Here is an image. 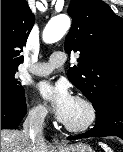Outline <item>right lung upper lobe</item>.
I'll return each mask as SVG.
<instances>
[{"mask_svg": "<svg viewBox=\"0 0 123 152\" xmlns=\"http://www.w3.org/2000/svg\"><path fill=\"white\" fill-rule=\"evenodd\" d=\"M26 0H1V67L18 69L20 55L34 25Z\"/></svg>", "mask_w": 123, "mask_h": 152, "instance_id": "right-lung-upper-lobe-1", "label": "right lung upper lobe"}]
</instances>
